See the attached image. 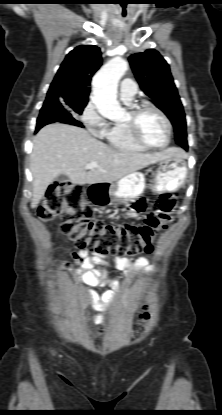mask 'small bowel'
I'll return each instance as SVG.
<instances>
[{"instance_id":"1","label":"small bowel","mask_w":222,"mask_h":415,"mask_svg":"<svg viewBox=\"0 0 222 415\" xmlns=\"http://www.w3.org/2000/svg\"><path fill=\"white\" fill-rule=\"evenodd\" d=\"M74 256L82 261L78 273L84 272L85 283L93 287L104 285L107 282L106 271L112 266L124 270L125 272H130L135 266H143L146 262L145 258L135 260L109 255L103 256L89 253L84 250L74 253ZM93 267H98V269L90 270ZM145 270H148V267H145ZM114 296L115 291H108L102 296L92 292L90 294L91 305L95 310L103 311L111 304ZM104 321L105 317L102 314H98L94 317L95 324H102Z\"/></svg>"}]
</instances>
